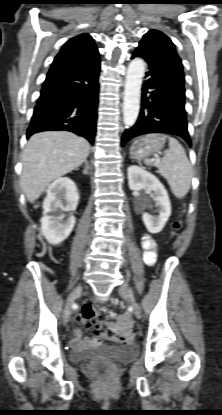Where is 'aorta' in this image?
<instances>
[{"label": "aorta", "mask_w": 222, "mask_h": 415, "mask_svg": "<svg viewBox=\"0 0 222 415\" xmlns=\"http://www.w3.org/2000/svg\"><path fill=\"white\" fill-rule=\"evenodd\" d=\"M145 73V62L141 58L133 59L126 75L123 101V122L132 127L139 115L142 79Z\"/></svg>", "instance_id": "obj_1"}]
</instances>
